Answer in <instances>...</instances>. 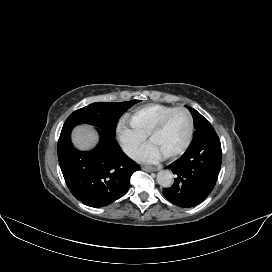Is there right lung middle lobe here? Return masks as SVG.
<instances>
[{
	"instance_id": "obj_1",
	"label": "right lung middle lobe",
	"mask_w": 272,
	"mask_h": 272,
	"mask_svg": "<svg viewBox=\"0 0 272 272\" xmlns=\"http://www.w3.org/2000/svg\"><path fill=\"white\" fill-rule=\"evenodd\" d=\"M140 102L131 100L127 102H96L74 111L65 123H86L108 131L115 135L119 118L131 106Z\"/></svg>"
}]
</instances>
